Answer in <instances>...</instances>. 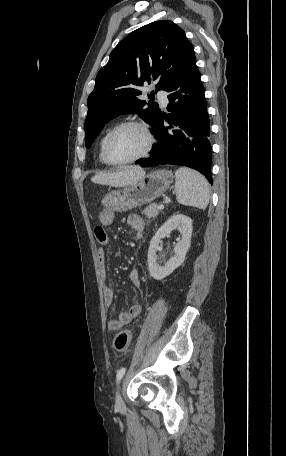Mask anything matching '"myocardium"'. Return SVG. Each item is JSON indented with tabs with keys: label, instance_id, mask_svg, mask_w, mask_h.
I'll return each instance as SVG.
<instances>
[{
	"label": "myocardium",
	"instance_id": "obj_1",
	"mask_svg": "<svg viewBox=\"0 0 286 456\" xmlns=\"http://www.w3.org/2000/svg\"><path fill=\"white\" fill-rule=\"evenodd\" d=\"M128 127H137V128H140L145 136H146V139H147V145H146V148L145 150L138 156L132 158V159H129V160H125V161H115L111 158L110 156V153H109V148H110V144L113 140V138L120 132L122 131L123 129L125 128H128ZM154 143H155V139H154V135L149 127L148 124H146L145 122H142V121H137V120H128V121H125V122H122L120 123L119 125H117L110 133L109 135L107 136L106 140H105V143H104V147H103V157H104V160L106 161V163L108 165H111V166H125V165H129V164H132V163H135V162H138L144 158H146L150 152L152 151L153 149V146H154Z\"/></svg>",
	"mask_w": 286,
	"mask_h": 456
}]
</instances>
